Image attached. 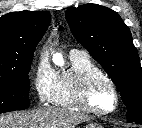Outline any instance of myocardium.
I'll return each mask as SVG.
<instances>
[{"instance_id":"myocardium-1","label":"myocardium","mask_w":142,"mask_h":128,"mask_svg":"<svg viewBox=\"0 0 142 128\" xmlns=\"http://www.w3.org/2000/svg\"><path fill=\"white\" fill-rule=\"evenodd\" d=\"M102 83H105L109 87L113 95L114 103L110 109H100L93 103L94 92ZM76 98L81 109L99 116L113 113L119 105L117 88L114 82L104 73H93L84 76L78 85Z\"/></svg>"}]
</instances>
